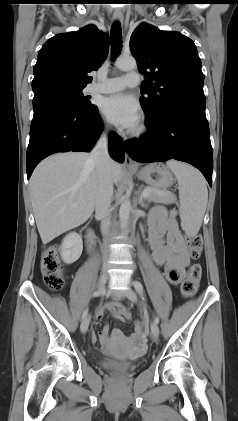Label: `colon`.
Here are the masks:
<instances>
[{
	"label": "colon",
	"instance_id": "colon-1",
	"mask_svg": "<svg viewBox=\"0 0 238 421\" xmlns=\"http://www.w3.org/2000/svg\"><path fill=\"white\" fill-rule=\"evenodd\" d=\"M190 255L193 259H198L202 252V238L193 236L188 238ZM41 273L47 287L53 291H59L64 287L65 275L63 265L59 259L58 251L55 247L47 249L41 258ZM201 278V267L194 263L190 266L187 276L181 284V294L183 298L193 296L199 285Z\"/></svg>",
	"mask_w": 238,
	"mask_h": 421
}]
</instances>
